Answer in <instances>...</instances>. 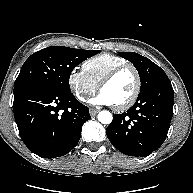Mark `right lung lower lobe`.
I'll use <instances>...</instances> for the list:
<instances>
[{"label":"right lung lower lobe","instance_id":"obj_1","mask_svg":"<svg viewBox=\"0 0 193 193\" xmlns=\"http://www.w3.org/2000/svg\"><path fill=\"white\" fill-rule=\"evenodd\" d=\"M13 112L20 137L27 148L42 158H55L78 143L88 107L68 91L34 85L14 92Z\"/></svg>","mask_w":193,"mask_h":193}]
</instances>
